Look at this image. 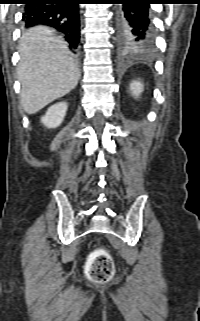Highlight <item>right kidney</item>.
I'll list each match as a JSON object with an SVG mask.
<instances>
[{
  "label": "right kidney",
  "instance_id": "right-kidney-1",
  "mask_svg": "<svg viewBox=\"0 0 200 321\" xmlns=\"http://www.w3.org/2000/svg\"><path fill=\"white\" fill-rule=\"evenodd\" d=\"M66 111V102L56 103L48 108L46 114L41 118V122L47 128H56L62 123L66 115Z\"/></svg>",
  "mask_w": 200,
  "mask_h": 321
}]
</instances>
